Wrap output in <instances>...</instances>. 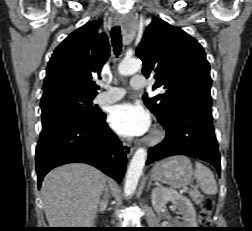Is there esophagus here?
<instances>
[{"mask_svg": "<svg viewBox=\"0 0 252 231\" xmlns=\"http://www.w3.org/2000/svg\"><path fill=\"white\" fill-rule=\"evenodd\" d=\"M114 23L116 25H121L123 23V17L121 15L115 16ZM122 146H123L126 156L130 157L132 153L134 152V148L132 147V145L128 142L123 141Z\"/></svg>", "mask_w": 252, "mask_h": 231, "instance_id": "obj_1", "label": "esophagus"}]
</instances>
